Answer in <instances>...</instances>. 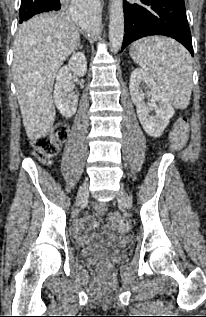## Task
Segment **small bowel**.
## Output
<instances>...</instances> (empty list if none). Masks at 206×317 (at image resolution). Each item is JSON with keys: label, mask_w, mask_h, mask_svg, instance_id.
I'll return each mask as SVG.
<instances>
[{"label": "small bowel", "mask_w": 206, "mask_h": 317, "mask_svg": "<svg viewBox=\"0 0 206 317\" xmlns=\"http://www.w3.org/2000/svg\"><path fill=\"white\" fill-rule=\"evenodd\" d=\"M85 224H88V229L86 231H84ZM97 227H98L97 221L91 216H87L85 218L79 219L75 221L74 223V227H73L74 236L79 242L81 243L86 242L94 235V232ZM107 235L109 237H114L115 231L110 228L107 230ZM129 238H130V233L122 232V241H127Z\"/></svg>", "instance_id": "obj_1"}]
</instances>
